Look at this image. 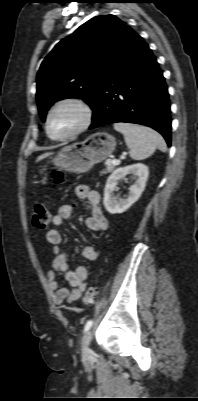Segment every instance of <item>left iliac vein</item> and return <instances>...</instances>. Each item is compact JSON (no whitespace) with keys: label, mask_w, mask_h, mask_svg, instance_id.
Instances as JSON below:
<instances>
[{"label":"left iliac vein","mask_w":198,"mask_h":401,"mask_svg":"<svg viewBox=\"0 0 198 401\" xmlns=\"http://www.w3.org/2000/svg\"><path fill=\"white\" fill-rule=\"evenodd\" d=\"M91 331H87L82 339V356L83 358H89L91 356L90 351Z\"/></svg>","instance_id":"4c4485c4"}]
</instances>
